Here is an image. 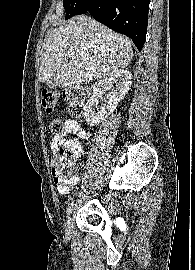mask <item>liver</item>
<instances>
[{
    "instance_id": "6515ba94",
    "label": "liver",
    "mask_w": 195,
    "mask_h": 270,
    "mask_svg": "<svg viewBox=\"0 0 195 270\" xmlns=\"http://www.w3.org/2000/svg\"><path fill=\"white\" fill-rule=\"evenodd\" d=\"M132 57L129 39L80 15L47 35L39 81L53 78L62 88L90 83L123 70Z\"/></svg>"
}]
</instances>
